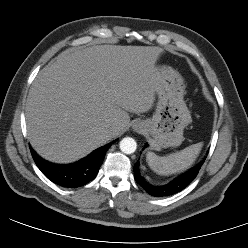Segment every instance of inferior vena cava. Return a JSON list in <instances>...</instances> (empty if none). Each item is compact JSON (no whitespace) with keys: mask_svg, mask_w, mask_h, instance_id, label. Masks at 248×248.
Instances as JSON below:
<instances>
[{"mask_svg":"<svg viewBox=\"0 0 248 248\" xmlns=\"http://www.w3.org/2000/svg\"><path fill=\"white\" fill-rule=\"evenodd\" d=\"M113 129L112 128H110V129H108V130H106V133L108 134V135H111L112 133H113Z\"/></svg>","mask_w":248,"mask_h":248,"instance_id":"602c4592","label":"inferior vena cava"}]
</instances>
